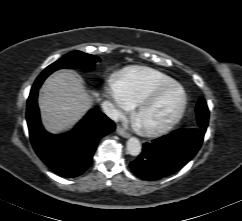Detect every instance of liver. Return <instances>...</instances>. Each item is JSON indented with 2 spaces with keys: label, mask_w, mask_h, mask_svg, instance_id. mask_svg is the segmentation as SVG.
Returning <instances> with one entry per match:
<instances>
[{
  "label": "liver",
  "mask_w": 242,
  "mask_h": 221,
  "mask_svg": "<svg viewBox=\"0 0 242 221\" xmlns=\"http://www.w3.org/2000/svg\"><path fill=\"white\" fill-rule=\"evenodd\" d=\"M38 99L42 123L52 134L71 129L91 108L98 94L90 95L83 79L75 72L63 70L49 76Z\"/></svg>",
  "instance_id": "liver-1"
}]
</instances>
